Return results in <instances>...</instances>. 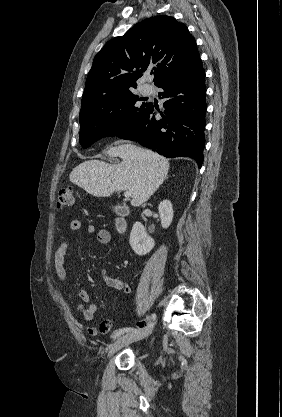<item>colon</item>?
<instances>
[{"label":"colon","instance_id":"obj_1","mask_svg":"<svg viewBox=\"0 0 282 417\" xmlns=\"http://www.w3.org/2000/svg\"><path fill=\"white\" fill-rule=\"evenodd\" d=\"M74 203V190L72 185L61 187L56 196V205L59 209L70 207Z\"/></svg>","mask_w":282,"mask_h":417}]
</instances>
